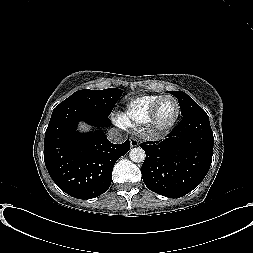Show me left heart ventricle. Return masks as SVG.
<instances>
[{"instance_id": "b2bd125f", "label": "left heart ventricle", "mask_w": 253, "mask_h": 253, "mask_svg": "<svg viewBox=\"0 0 253 253\" xmlns=\"http://www.w3.org/2000/svg\"><path fill=\"white\" fill-rule=\"evenodd\" d=\"M176 109V104L172 99L167 98L163 100L157 113V123L159 125L169 123L174 118Z\"/></svg>"}]
</instances>
